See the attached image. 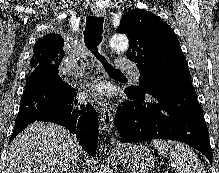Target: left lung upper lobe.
<instances>
[{"mask_svg": "<svg viewBox=\"0 0 219 173\" xmlns=\"http://www.w3.org/2000/svg\"><path fill=\"white\" fill-rule=\"evenodd\" d=\"M117 31L128 36L126 55L140 71V87H128L134 93L193 87L180 43L172 28L159 17L147 10H131L121 18Z\"/></svg>", "mask_w": 219, "mask_h": 173, "instance_id": "left-lung-upper-lobe-1", "label": "left lung upper lobe"}]
</instances>
